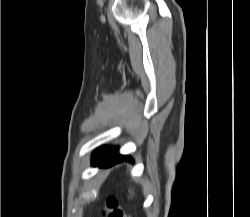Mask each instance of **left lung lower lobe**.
Returning <instances> with one entry per match:
<instances>
[{
    "label": "left lung lower lobe",
    "instance_id": "obj_1",
    "mask_svg": "<svg viewBox=\"0 0 250 217\" xmlns=\"http://www.w3.org/2000/svg\"><path fill=\"white\" fill-rule=\"evenodd\" d=\"M123 160L132 161V158L130 156L119 155L117 148L104 146L94 151L92 165L109 167Z\"/></svg>",
    "mask_w": 250,
    "mask_h": 217
}]
</instances>
